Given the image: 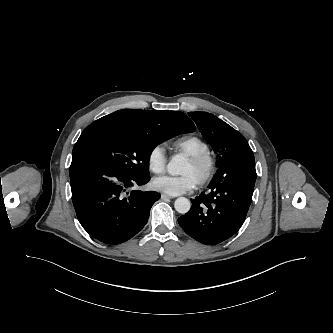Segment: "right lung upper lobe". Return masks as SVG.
<instances>
[{"mask_svg": "<svg viewBox=\"0 0 333 333\" xmlns=\"http://www.w3.org/2000/svg\"><path fill=\"white\" fill-rule=\"evenodd\" d=\"M92 124H119L149 133L193 132L195 125L186 114L177 111L123 109L104 116Z\"/></svg>", "mask_w": 333, "mask_h": 333, "instance_id": "cb5924a9", "label": "right lung upper lobe"}]
</instances>
